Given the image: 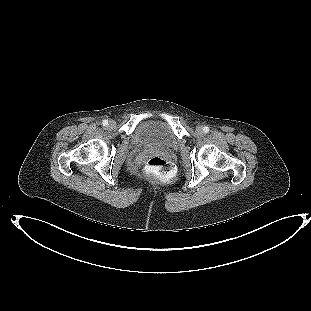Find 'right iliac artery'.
Here are the masks:
<instances>
[{
	"instance_id": "right-iliac-artery-1",
	"label": "right iliac artery",
	"mask_w": 311,
	"mask_h": 311,
	"mask_svg": "<svg viewBox=\"0 0 311 311\" xmlns=\"http://www.w3.org/2000/svg\"><path fill=\"white\" fill-rule=\"evenodd\" d=\"M102 124H103L104 126H107V125H108V120H103Z\"/></svg>"
}]
</instances>
